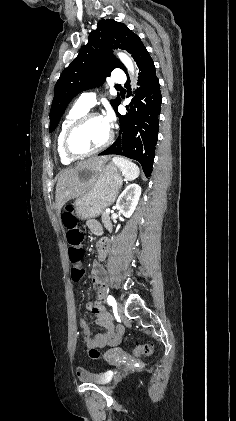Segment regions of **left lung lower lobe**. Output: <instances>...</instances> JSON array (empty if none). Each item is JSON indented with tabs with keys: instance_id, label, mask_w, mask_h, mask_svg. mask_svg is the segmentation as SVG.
<instances>
[{
	"instance_id": "0a47b994",
	"label": "left lung lower lobe",
	"mask_w": 236,
	"mask_h": 421,
	"mask_svg": "<svg viewBox=\"0 0 236 421\" xmlns=\"http://www.w3.org/2000/svg\"><path fill=\"white\" fill-rule=\"evenodd\" d=\"M133 58L139 68L140 86L132 101L134 106L125 116L115 111L120 122L119 137L99 155L116 154L137 160L145 175L150 176L159 131L162 96L154 62L143 44L138 47ZM126 86L129 88L128 82Z\"/></svg>"
}]
</instances>
